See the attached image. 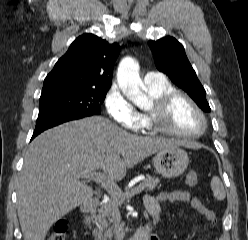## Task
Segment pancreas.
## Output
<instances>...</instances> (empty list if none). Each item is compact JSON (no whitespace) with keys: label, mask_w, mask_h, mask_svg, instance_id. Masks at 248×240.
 Wrapping results in <instances>:
<instances>
[{"label":"pancreas","mask_w":248,"mask_h":240,"mask_svg":"<svg viewBox=\"0 0 248 240\" xmlns=\"http://www.w3.org/2000/svg\"><path fill=\"white\" fill-rule=\"evenodd\" d=\"M159 182V178L147 175L143 180L142 185L148 191H151ZM124 199L123 192L112 196L110 201L101 205L97 215L93 214L91 216L90 219L97 225V228L93 231L95 240H111L113 235H116L117 237L123 235L124 230L120 223L119 207Z\"/></svg>","instance_id":"pancreas-1"}]
</instances>
